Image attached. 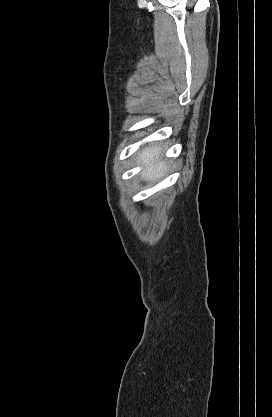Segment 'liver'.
I'll return each instance as SVG.
<instances>
[{"label":"liver","instance_id":"liver-1","mask_svg":"<svg viewBox=\"0 0 272 417\" xmlns=\"http://www.w3.org/2000/svg\"><path fill=\"white\" fill-rule=\"evenodd\" d=\"M161 150L158 146L153 145L144 148L138 153L137 164H146L140 176L149 182H156L166 175L168 165L165 160L160 159Z\"/></svg>","mask_w":272,"mask_h":417}]
</instances>
